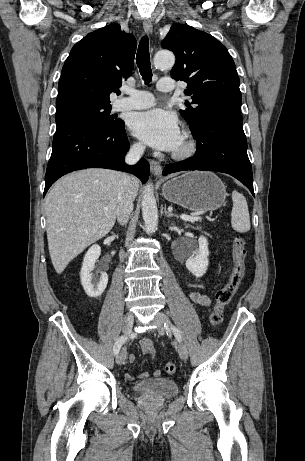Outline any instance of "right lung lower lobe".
<instances>
[{"label": "right lung lower lobe", "instance_id": "1", "mask_svg": "<svg viewBox=\"0 0 305 461\" xmlns=\"http://www.w3.org/2000/svg\"><path fill=\"white\" fill-rule=\"evenodd\" d=\"M52 143V154L45 175L44 196L50 186L63 175L85 168H108L127 171L142 183L149 177V163L141 159L127 166L124 157L129 150L124 122L101 128L79 120H61Z\"/></svg>", "mask_w": 305, "mask_h": 461}]
</instances>
